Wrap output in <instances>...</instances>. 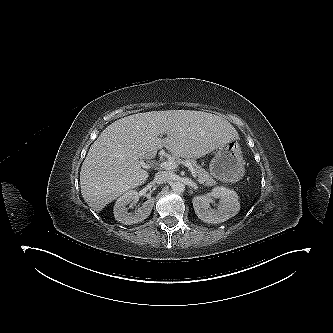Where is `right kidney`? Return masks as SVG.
Wrapping results in <instances>:
<instances>
[{
	"mask_svg": "<svg viewBox=\"0 0 333 333\" xmlns=\"http://www.w3.org/2000/svg\"><path fill=\"white\" fill-rule=\"evenodd\" d=\"M139 200V193L136 190H129L120 196L114 205L115 219L123 224H135L146 219L153 208L154 201L149 199L138 208L135 213L128 212V204L136 203Z\"/></svg>",
	"mask_w": 333,
	"mask_h": 333,
	"instance_id": "obj_1",
	"label": "right kidney"
}]
</instances>
